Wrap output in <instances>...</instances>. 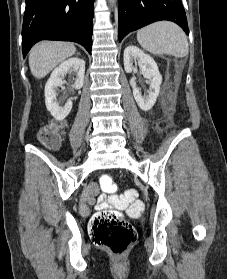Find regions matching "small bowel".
Masks as SVG:
<instances>
[{
    "label": "small bowel",
    "mask_w": 227,
    "mask_h": 279,
    "mask_svg": "<svg viewBox=\"0 0 227 279\" xmlns=\"http://www.w3.org/2000/svg\"><path fill=\"white\" fill-rule=\"evenodd\" d=\"M114 208L125 211L127 214L136 216L143 209V203L135 200L133 196H116V198H107L100 193V189L96 184H89L83 195V204L79 207V211L83 215H88L92 209Z\"/></svg>",
    "instance_id": "1"
}]
</instances>
